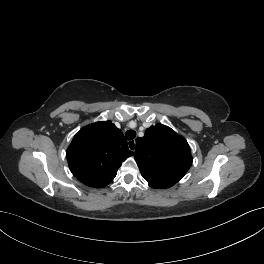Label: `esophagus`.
<instances>
[{"label": "esophagus", "instance_id": "1", "mask_svg": "<svg viewBox=\"0 0 264 264\" xmlns=\"http://www.w3.org/2000/svg\"><path fill=\"white\" fill-rule=\"evenodd\" d=\"M128 147H129V149L131 150V151H135V148H136V142H135V140H130V141H128Z\"/></svg>", "mask_w": 264, "mask_h": 264}]
</instances>
